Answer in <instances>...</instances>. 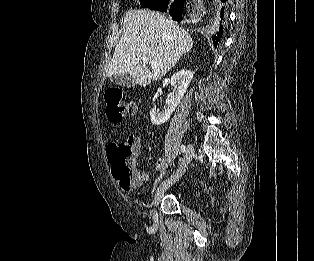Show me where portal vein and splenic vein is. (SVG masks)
I'll return each instance as SVG.
<instances>
[{
  "label": "portal vein and splenic vein",
  "mask_w": 314,
  "mask_h": 261,
  "mask_svg": "<svg viewBox=\"0 0 314 261\" xmlns=\"http://www.w3.org/2000/svg\"><path fill=\"white\" fill-rule=\"evenodd\" d=\"M142 61L144 62V63H148L149 62V59L147 58V57H143L142 58ZM158 66V64L156 63V62H152L151 63V67L152 68H155V67H157Z\"/></svg>",
  "instance_id": "1"
}]
</instances>
